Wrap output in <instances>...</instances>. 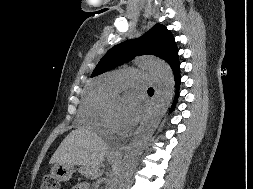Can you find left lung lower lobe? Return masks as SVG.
Masks as SVG:
<instances>
[{
  "mask_svg": "<svg viewBox=\"0 0 253 189\" xmlns=\"http://www.w3.org/2000/svg\"><path fill=\"white\" fill-rule=\"evenodd\" d=\"M180 64H177L174 68H173V73L175 76V81H176V85H177V91H176V98L178 96V89H179V84H180Z\"/></svg>",
  "mask_w": 253,
  "mask_h": 189,
  "instance_id": "0a47b994",
  "label": "left lung lower lobe"
}]
</instances>
